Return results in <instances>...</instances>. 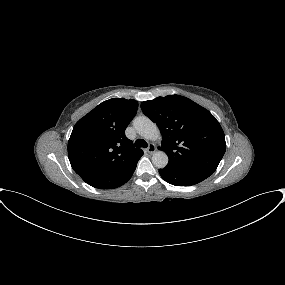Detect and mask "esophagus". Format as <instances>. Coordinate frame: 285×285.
<instances>
[{
    "instance_id": "1",
    "label": "esophagus",
    "mask_w": 285,
    "mask_h": 285,
    "mask_svg": "<svg viewBox=\"0 0 285 285\" xmlns=\"http://www.w3.org/2000/svg\"><path fill=\"white\" fill-rule=\"evenodd\" d=\"M156 151V147H155V145L154 144H149V146H148V148H147V152L148 153H150V154H152V153H154Z\"/></svg>"
}]
</instances>
